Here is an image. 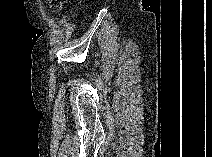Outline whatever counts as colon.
Returning <instances> with one entry per match:
<instances>
[{"label":"colon","instance_id":"1","mask_svg":"<svg viewBox=\"0 0 212 157\" xmlns=\"http://www.w3.org/2000/svg\"><path fill=\"white\" fill-rule=\"evenodd\" d=\"M50 6H51V8H53L55 10H59L61 8V2L57 1V0H52L50 2Z\"/></svg>","mask_w":212,"mask_h":157}]
</instances>
